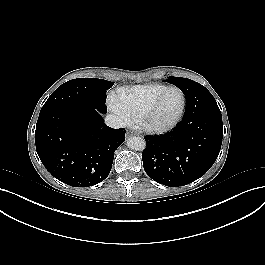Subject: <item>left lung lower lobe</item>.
<instances>
[{
  "label": "left lung lower lobe",
  "instance_id": "obj_1",
  "mask_svg": "<svg viewBox=\"0 0 265 265\" xmlns=\"http://www.w3.org/2000/svg\"><path fill=\"white\" fill-rule=\"evenodd\" d=\"M183 120L168 134L146 136L142 152L145 172L156 182L179 187L202 177L214 164L223 138L222 116L218 106L206 103L202 87L184 92Z\"/></svg>",
  "mask_w": 265,
  "mask_h": 265
}]
</instances>
